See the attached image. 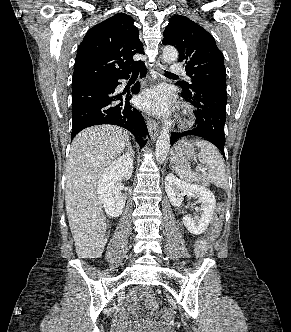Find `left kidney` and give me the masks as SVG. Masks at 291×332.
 <instances>
[{
    "label": "left kidney",
    "mask_w": 291,
    "mask_h": 332,
    "mask_svg": "<svg viewBox=\"0 0 291 332\" xmlns=\"http://www.w3.org/2000/svg\"><path fill=\"white\" fill-rule=\"evenodd\" d=\"M165 191L172 205L180 207L184 196L198 197L196 203H201L200 216L191 218L183 216V223L187 230L195 235L205 232L216 208L214 194L205 186L181 181L170 173L165 178Z\"/></svg>",
    "instance_id": "1"
}]
</instances>
